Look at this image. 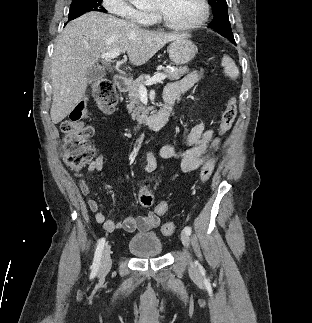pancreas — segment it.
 I'll return each instance as SVG.
<instances>
[{"label": "pancreas", "mask_w": 312, "mask_h": 323, "mask_svg": "<svg viewBox=\"0 0 312 323\" xmlns=\"http://www.w3.org/2000/svg\"><path fill=\"white\" fill-rule=\"evenodd\" d=\"M162 74H165L168 80H179L184 74H189L188 66H182V68H173V70H168V68H163ZM151 80L148 74H142L134 82H129L128 86V96L129 104H127L128 112L132 116V120H137V122H147L148 114L152 108H146L140 102L139 88L140 86H145V82Z\"/></svg>", "instance_id": "cf45deb5"}]
</instances>
